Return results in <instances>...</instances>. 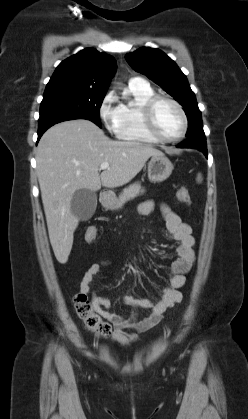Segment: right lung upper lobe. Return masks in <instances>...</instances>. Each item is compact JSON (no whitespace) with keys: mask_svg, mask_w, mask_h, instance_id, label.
<instances>
[{"mask_svg":"<svg viewBox=\"0 0 248 419\" xmlns=\"http://www.w3.org/2000/svg\"><path fill=\"white\" fill-rule=\"evenodd\" d=\"M116 70V60L93 48H86L62 61L46 88H78L106 93Z\"/></svg>","mask_w":248,"mask_h":419,"instance_id":"obj_1","label":"right lung upper lobe"}]
</instances>
